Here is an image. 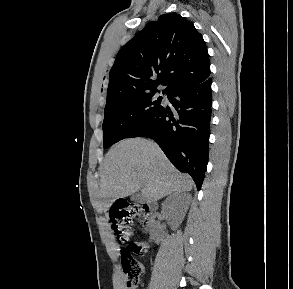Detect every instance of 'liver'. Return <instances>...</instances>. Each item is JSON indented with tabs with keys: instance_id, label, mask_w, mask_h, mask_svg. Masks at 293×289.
I'll return each mask as SVG.
<instances>
[{
	"instance_id": "6515ba94",
	"label": "liver",
	"mask_w": 293,
	"mask_h": 289,
	"mask_svg": "<svg viewBox=\"0 0 293 289\" xmlns=\"http://www.w3.org/2000/svg\"><path fill=\"white\" fill-rule=\"evenodd\" d=\"M192 188L191 177L178 172L156 143L143 138L114 145L101 167L102 199L124 198L140 190L143 201L155 202Z\"/></svg>"
}]
</instances>
